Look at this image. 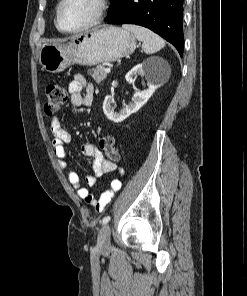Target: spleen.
Instances as JSON below:
<instances>
[{
  "instance_id": "1",
  "label": "spleen",
  "mask_w": 247,
  "mask_h": 296,
  "mask_svg": "<svg viewBox=\"0 0 247 296\" xmlns=\"http://www.w3.org/2000/svg\"><path fill=\"white\" fill-rule=\"evenodd\" d=\"M122 28L142 42V49L146 54L155 53L165 46V41L159 35L145 27L125 24Z\"/></svg>"
}]
</instances>
